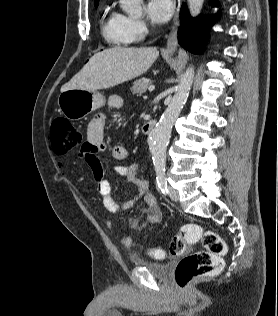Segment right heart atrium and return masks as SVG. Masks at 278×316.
Returning <instances> with one entry per match:
<instances>
[{
	"label": "right heart atrium",
	"instance_id": "1",
	"mask_svg": "<svg viewBox=\"0 0 278 316\" xmlns=\"http://www.w3.org/2000/svg\"><path fill=\"white\" fill-rule=\"evenodd\" d=\"M125 33L131 41H138L144 37L147 32V25L141 19L132 18L120 14Z\"/></svg>",
	"mask_w": 278,
	"mask_h": 316
}]
</instances>
